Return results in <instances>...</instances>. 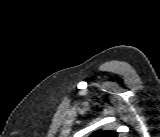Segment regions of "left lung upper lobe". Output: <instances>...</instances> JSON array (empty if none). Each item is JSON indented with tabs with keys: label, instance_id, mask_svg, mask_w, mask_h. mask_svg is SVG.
Returning <instances> with one entry per match:
<instances>
[{
	"label": "left lung upper lobe",
	"instance_id": "5c2ea615",
	"mask_svg": "<svg viewBox=\"0 0 160 137\" xmlns=\"http://www.w3.org/2000/svg\"><path fill=\"white\" fill-rule=\"evenodd\" d=\"M90 137H117V132L115 131H97L93 133Z\"/></svg>",
	"mask_w": 160,
	"mask_h": 137
}]
</instances>
